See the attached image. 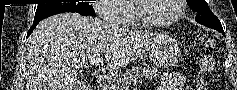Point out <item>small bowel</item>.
Masks as SVG:
<instances>
[{"mask_svg": "<svg viewBox=\"0 0 237 90\" xmlns=\"http://www.w3.org/2000/svg\"><path fill=\"white\" fill-rule=\"evenodd\" d=\"M203 72H210L212 66L210 63L202 64ZM159 90H193V87L186 82L185 77L176 72H165L159 78Z\"/></svg>", "mask_w": 237, "mask_h": 90, "instance_id": "obj_1", "label": "small bowel"}]
</instances>
